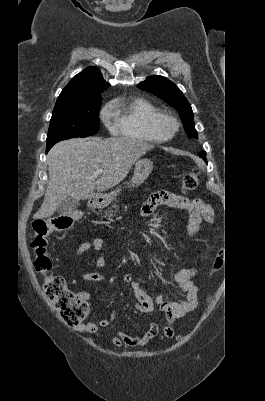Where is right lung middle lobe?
I'll use <instances>...</instances> for the list:
<instances>
[{
  "mask_svg": "<svg viewBox=\"0 0 265 401\" xmlns=\"http://www.w3.org/2000/svg\"><path fill=\"white\" fill-rule=\"evenodd\" d=\"M102 98L72 101L55 106L47 134V146L74 137H87L98 132Z\"/></svg>",
  "mask_w": 265,
  "mask_h": 401,
  "instance_id": "right-lung-middle-lobe-1",
  "label": "right lung middle lobe"
}]
</instances>
